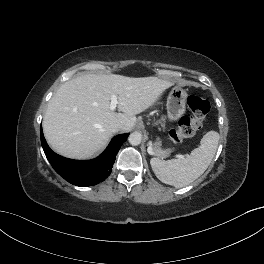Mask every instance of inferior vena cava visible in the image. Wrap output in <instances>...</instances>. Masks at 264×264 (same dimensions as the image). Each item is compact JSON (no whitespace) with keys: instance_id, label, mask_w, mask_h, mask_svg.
Wrapping results in <instances>:
<instances>
[{"instance_id":"602c4592","label":"inferior vena cava","mask_w":264,"mask_h":264,"mask_svg":"<svg viewBox=\"0 0 264 264\" xmlns=\"http://www.w3.org/2000/svg\"><path fill=\"white\" fill-rule=\"evenodd\" d=\"M122 128H123V125H122L121 123H115V124L112 126V130H113V132H118V131H120Z\"/></svg>"}]
</instances>
